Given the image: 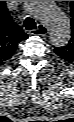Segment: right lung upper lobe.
Returning <instances> with one entry per match:
<instances>
[{"label":"right lung upper lobe","mask_w":74,"mask_h":122,"mask_svg":"<svg viewBox=\"0 0 74 122\" xmlns=\"http://www.w3.org/2000/svg\"><path fill=\"white\" fill-rule=\"evenodd\" d=\"M28 36L12 20L5 1H0V64L10 59L18 43Z\"/></svg>","instance_id":"cb5924a9"}]
</instances>
